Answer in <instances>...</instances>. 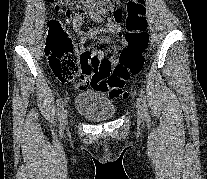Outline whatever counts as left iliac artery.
<instances>
[{
    "mask_svg": "<svg viewBox=\"0 0 207 179\" xmlns=\"http://www.w3.org/2000/svg\"><path fill=\"white\" fill-rule=\"evenodd\" d=\"M140 100L142 102L143 105V109H144V113H145V117L147 120L150 119L149 113H148V108L146 105V96H145V91L143 89L140 90Z\"/></svg>",
    "mask_w": 207,
    "mask_h": 179,
    "instance_id": "obj_1",
    "label": "left iliac artery"
}]
</instances>
